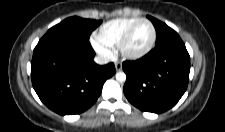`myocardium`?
<instances>
[{"mask_svg": "<svg viewBox=\"0 0 225 132\" xmlns=\"http://www.w3.org/2000/svg\"><path fill=\"white\" fill-rule=\"evenodd\" d=\"M143 22H145V23H147V24H149L151 26L152 37H151L149 43L147 44V46L145 48H143L142 50L137 51V52L129 51L127 49V44H128V42H129V40H130V38L132 36V33L135 30V28L140 23H143ZM155 41H156V29H155V26L153 25V23L150 20L145 19V18H141V19H138L137 21H135L125 31V33L123 34L122 38L119 41L118 50H119L120 54L124 58L130 59V60H137V59H140V58L144 57L145 55H147L152 50V48L154 47Z\"/></svg>", "mask_w": 225, "mask_h": 132, "instance_id": "myocardium-1", "label": "myocardium"}]
</instances>
